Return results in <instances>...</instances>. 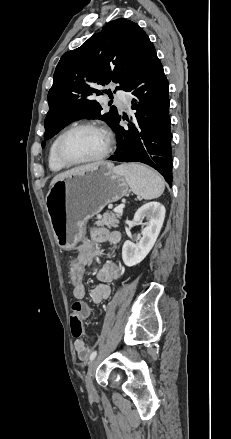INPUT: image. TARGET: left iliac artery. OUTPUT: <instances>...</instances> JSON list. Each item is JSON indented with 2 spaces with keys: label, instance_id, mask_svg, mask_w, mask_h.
Segmentation results:
<instances>
[{
  "label": "left iliac artery",
  "instance_id": "1",
  "mask_svg": "<svg viewBox=\"0 0 231 439\" xmlns=\"http://www.w3.org/2000/svg\"><path fill=\"white\" fill-rule=\"evenodd\" d=\"M97 355V351H93L89 357L90 361H92Z\"/></svg>",
  "mask_w": 231,
  "mask_h": 439
}]
</instances>
